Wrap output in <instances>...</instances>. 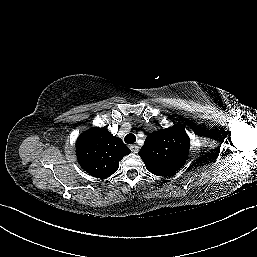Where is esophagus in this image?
<instances>
[{
  "label": "esophagus",
  "mask_w": 257,
  "mask_h": 257,
  "mask_svg": "<svg viewBox=\"0 0 257 257\" xmlns=\"http://www.w3.org/2000/svg\"><path fill=\"white\" fill-rule=\"evenodd\" d=\"M130 149L133 153H137L139 151V147L135 144L130 145Z\"/></svg>",
  "instance_id": "esophagus-1"
}]
</instances>
